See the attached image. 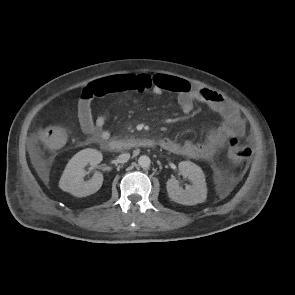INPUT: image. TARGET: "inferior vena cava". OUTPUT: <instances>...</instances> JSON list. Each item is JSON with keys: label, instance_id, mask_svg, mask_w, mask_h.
I'll return each mask as SVG.
<instances>
[{"label": "inferior vena cava", "instance_id": "obj_1", "mask_svg": "<svg viewBox=\"0 0 295 295\" xmlns=\"http://www.w3.org/2000/svg\"><path fill=\"white\" fill-rule=\"evenodd\" d=\"M130 159V154L129 153H124L118 156L117 162L118 163H125Z\"/></svg>", "mask_w": 295, "mask_h": 295}]
</instances>
